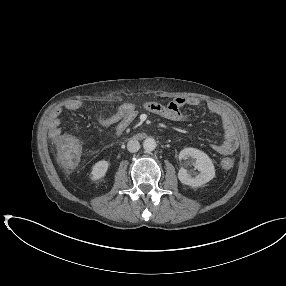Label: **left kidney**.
<instances>
[{
  "label": "left kidney",
  "mask_w": 286,
  "mask_h": 286,
  "mask_svg": "<svg viewBox=\"0 0 286 286\" xmlns=\"http://www.w3.org/2000/svg\"><path fill=\"white\" fill-rule=\"evenodd\" d=\"M188 157L195 160L194 166L198 171H200V173L193 177L186 169L181 168L178 172V178L182 184L189 185L191 187H199L215 177L214 164L206 153L196 148H185L180 151V160H186Z\"/></svg>",
  "instance_id": "obj_1"
}]
</instances>
